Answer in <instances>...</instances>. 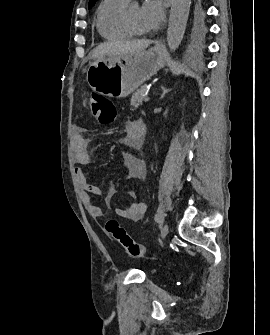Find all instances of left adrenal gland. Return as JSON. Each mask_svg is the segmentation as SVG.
Wrapping results in <instances>:
<instances>
[{
	"label": "left adrenal gland",
	"mask_w": 270,
	"mask_h": 335,
	"mask_svg": "<svg viewBox=\"0 0 270 335\" xmlns=\"http://www.w3.org/2000/svg\"><path fill=\"white\" fill-rule=\"evenodd\" d=\"M162 90H163L162 94L164 96V94H167V92H170L171 88H168L167 90V88H164V86H162Z\"/></svg>",
	"instance_id": "1"
}]
</instances>
